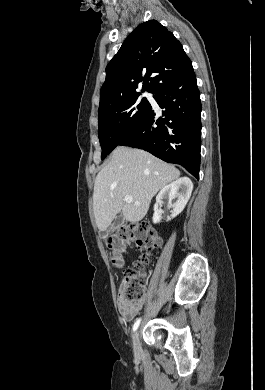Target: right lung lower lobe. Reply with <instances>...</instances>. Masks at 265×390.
Here are the masks:
<instances>
[{
	"mask_svg": "<svg viewBox=\"0 0 265 390\" xmlns=\"http://www.w3.org/2000/svg\"><path fill=\"white\" fill-rule=\"evenodd\" d=\"M162 111L157 117L152 106L145 117L120 142L150 152L168 162L182 165L199 179L201 147V101L190 62L155 92Z\"/></svg>",
	"mask_w": 265,
	"mask_h": 390,
	"instance_id": "right-lung-lower-lobe-1",
	"label": "right lung lower lobe"
}]
</instances>
